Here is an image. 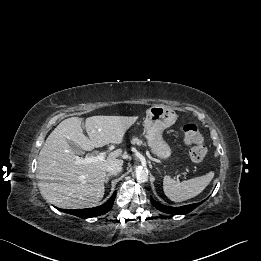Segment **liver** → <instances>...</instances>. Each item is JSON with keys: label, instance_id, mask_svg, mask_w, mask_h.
Returning <instances> with one entry per match:
<instances>
[{"label": "liver", "instance_id": "obj_1", "mask_svg": "<svg viewBox=\"0 0 261 261\" xmlns=\"http://www.w3.org/2000/svg\"><path fill=\"white\" fill-rule=\"evenodd\" d=\"M138 119L127 116H92L85 120L88 137L82 130V119L63 120L47 137L38 157L37 177L42 196L60 208L79 209L98 204L104 196L106 168L119 160L122 150L107 158L87 164H76L77 155L69 142L91 151L107 144L122 143L126 131Z\"/></svg>", "mask_w": 261, "mask_h": 261}]
</instances>
